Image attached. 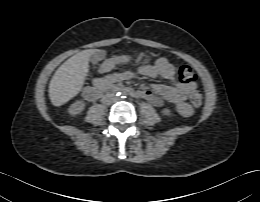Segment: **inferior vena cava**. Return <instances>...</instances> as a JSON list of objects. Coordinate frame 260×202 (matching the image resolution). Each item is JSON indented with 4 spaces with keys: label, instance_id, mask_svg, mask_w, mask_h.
Instances as JSON below:
<instances>
[{
    "label": "inferior vena cava",
    "instance_id": "1",
    "mask_svg": "<svg viewBox=\"0 0 260 202\" xmlns=\"http://www.w3.org/2000/svg\"><path fill=\"white\" fill-rule=\"evenodd\" d=\"M102 102L104 104H111L113 102H116V97L112 94H106L105 96H103Z\"/></svg>",
    "mask_w": 260,
    "mask_h": 202
}]
</instances>
